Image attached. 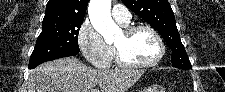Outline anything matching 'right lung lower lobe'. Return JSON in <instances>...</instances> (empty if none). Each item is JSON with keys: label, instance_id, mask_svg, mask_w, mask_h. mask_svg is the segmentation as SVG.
Here are the masks:
<instances>
[{"label": "right lung lower lobe", "instance_id": "right-lung-lower-lobe-1", "mask_svg": "<svg viewBox=\"0 0 225 92\" xmlns=\"http://www.w3.org/2000/svg\"><path fill=\"white\" fill-rule=\"evenodd\" d=\"M79 52H67V53H63L61 55H58V56H51V57H48V58H45V59H40V60H35V61H31L29 62V68L30 69H33L35 68L36 66L40 65L41 63H44V62H47V61H51V60H54V59H59V58H62V57H67V56H75L77 55Z\"/></svg>", "mask_w": 225, "mask_h": 92}]
</instances>
